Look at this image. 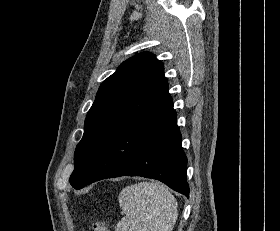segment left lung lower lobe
Segmentation results:
<instances>
[{
	"label": "left lung lower lobe",
	"instance_id": "left-lung-lower-lobe-1",
	"mask_svg": "<svg viewBox=\"0 0 280 231\" xmlns=\"http://www.w3.org/2000/svg\"><path fill=\"white\" fill-rule=\"evenodd\" d=\"M181 140L169 95L153 111L117 134L75 189L106 178L143 176L160 180L188 197L187 157Z\"/></svg>",
	"mask_w": 280,
	"mask_h": 231
}]
</instances>
